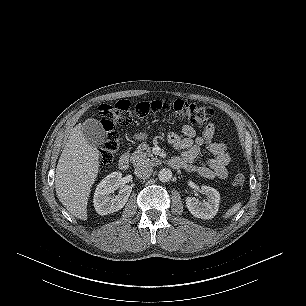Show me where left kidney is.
Returning <instances> with one entry per match:
<instances>
[{
  "instance_id": "5707ae66",
  "label": "left kidney",
  "mask_w": 306,
  "mask_h": 306,
  "mask_svg": "<svg viewBox=\"0 0 306 306\" xmlns=\"http://www.w3.org/2000/svg\"><path fill=\"white\" fill-rule=\"evenodd\" d=\"M201 193L206 195V201L199 202L195 197H187L186 206L194 217L212 219L218 212L220 194L216 189L205 185L201 186Z\"/></svg>"
}]
</instances>
